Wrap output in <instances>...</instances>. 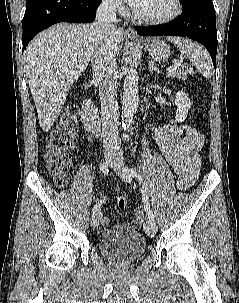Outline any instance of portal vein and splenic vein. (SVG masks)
Here are the masks:
<instances>
[{
    "mask_svg": "<svg viewBox=\"0 0 239 303\" xmlns=\"http://www.w3.org/2000/svg\"><path fill=\"white\" fill-rule=\"evenodd\" d=\"M181 65V62L175 63L173 67L167 69L168 73L172 72L174 69H177L178 66Z\"/></svg>",
    "mask_w": 239,
    "mask_h": 303,
    "instance_id": "18ae733b",
    "label": "portal vein and splenic vein"
}]
</instances>
